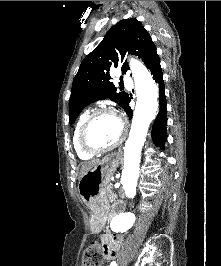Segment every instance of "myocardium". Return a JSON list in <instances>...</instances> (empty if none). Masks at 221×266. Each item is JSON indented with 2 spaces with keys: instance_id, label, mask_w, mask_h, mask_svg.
Returning a JSON list of instances; mask_svg holds the SVG:
<instances>
[{
  "instance_id": "f54148a6",
  "label": "myocardium",
  "mask_w": 221,
  "mask_h": 266,
  "mask_svg": "<svg viewBox=\"0 0 221 266\" xmlns=\"http://www.w3.org/2000/svg\"><path fill=\"white\" fill-rule=\"evenodd\" d=\"M106 113L113 114L119 119V121L121 123V134L117 138L116 141H114L113 143H111L107 146H95V145L90 143V141L88 139V132H89V129H90L93 121L99 115L106 114ZM127 133H128V128H127L126 122L121 117H119L114 110H112L110 108H98V109L90 112L89 115L87 116V118L85 119V121L83 122L81 129H80L79 142H80V145L84 151L91 153V154H99V153L107 152V151L114 149L117 146H119L124 141V139L126 138Z\"/></svg>"
}]
</instances>
